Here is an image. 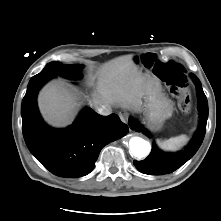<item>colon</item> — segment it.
<instances>
[{"instance_id":"5ec220e1","label":"colon","mask_w":221,"mask_h":221,"mask_svg":"<svg viewBox=\"0 0 221 221\" xmlns=\"http://www.w3.org/2000/svg\"><path fill=\"white\" fill-rule=\"evenodd\" d=\"M145 67L152 68L154 74L166 83L172 95L178 99L179 108L189 113L192 101L186 89L187 77L185 69L174 61H160L153 54H146L143 59Z\"/></svg>"}]
</instances>
